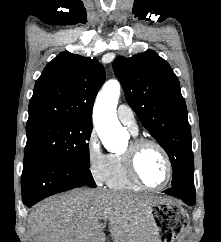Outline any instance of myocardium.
I'll use <instances>...</instances> for the list:
<instances>
[{
  "label": "myocardium",
  "mask_w": 221,
  "mask_h": 242,
  "mask_svg": "<svg viewBox=\"0 0 221 242\" xmlns=\"http://www.w3.org/2000/svg\"><path fill=\"white\" fill-rule=\"evenodd\" d=\"M148 145L156 147L161 152L166 162V169H167L166 179L164 183L158 186H150L146 184L141 178L137 168L138 155L140 151ZM123 157L125 160V165L129 176L138 186H140L143 189L150 190V191H159L164 189L172 180L173 165H172L171 158L168 152L166 151V149L164 148V146L154 139L145 138V137H138L133 139L129 147L124 151Z\"/></svg>",
  "instance_id": "obj_1"
}]
</instances>
